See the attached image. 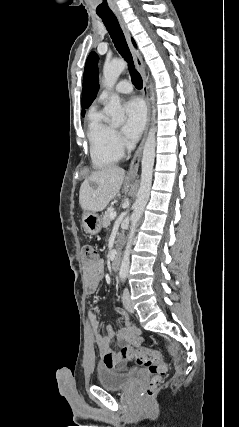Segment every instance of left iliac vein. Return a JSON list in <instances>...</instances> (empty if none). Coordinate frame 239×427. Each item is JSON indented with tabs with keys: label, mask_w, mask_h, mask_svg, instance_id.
I'll return each mask as SVG.
<instances>
[{
	"label": "left iliac vein",
	"mask_w": 239,
	"mask_h": 427,
	"mask_svg": "<svg viewBox=\"0 0 239 427\" xmlns=\"http://www.w3.org/2000/svg\"><path fill=\"white\" fill-rule=\"evenodd\" d=\"M123 305L124 307L130 312V313H134V307L130 298V292L129 290L126 288L124 289L123 292Z\"/></svg>",
	"instance_id": "obj_1"
}]
</instances>
